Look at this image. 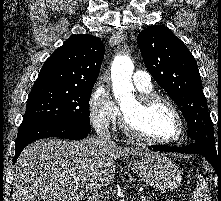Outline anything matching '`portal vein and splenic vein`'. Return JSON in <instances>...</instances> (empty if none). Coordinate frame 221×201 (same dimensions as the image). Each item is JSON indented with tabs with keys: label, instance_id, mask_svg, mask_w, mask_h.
Listing matches in <instances>:
<instances>
[{
	"label": "portal vein and splenic vein",
	"instance_id": "portal-vein-and-splenic-vein-1",
	"mask_svg": "<svg viewBox=\"0 0 221 201\" xmlns=\"http://www.w3.org/2000/svg\"><path fill=\"white\" fill-rule=\"evenodd\" d=\"M141 201H147V198L146 197H144V196H141Z\"/></svg>",
	"mask_w": 221,
	"mask_h": 201
}]
</instances>
